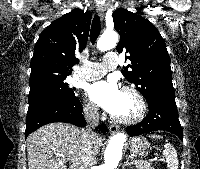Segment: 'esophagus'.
Listing matches in <instances>:
<instances>
[{
    "label": "esophagus",
    "instance_id": "obj_1",
    "mask_svg": "<svg viewBox=\"0 0 200 169\" xmlns=\"http://www.w3.org/2000/svg\"><path fill=\"white\" fill-rule=\"evenodd\" d=\"M98 14H99L101 20H104V17H105V8L103 6H101L98 9ZM109 131H110L111 134H115L118 131V125H115V124L110 125Z\"/></svg>",
    "mask_w": 200,
    "mask_h": 169
}]
</instances>
